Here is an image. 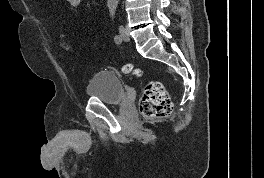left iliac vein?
Segmentation results:
<instances>
[{"mask_svg": "<svg viewBox=\"0 0 264 178\" xmlns=\"http://www.w3.org/2000/svg\"><path fill=\"white\" fill-rule=\"evenodd\" d=\"M119 32H120V37H121L122 41H126L127 42V41L130 40V37H129V34H128L127 30L123 26H120Z\"/></svg>", "mask_w": 264, "mask_h": 178, "instance_id": "left-iliac-vein-1", "label": "left iliac vein"}]
</instances>
